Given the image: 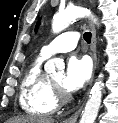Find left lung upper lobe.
Listing matches in <instances>:
<instances>
[{"mask_svg": "<svg viewBox=\"0 0 118 123\" xmlns=\"http://www.w3.org/2000/svg\"><path fill=\"white\" fill-rule=\"evenodd\" d=\"M38 26H39V22H38L37 25H36V30L38 29Z\"/></svg>", "mask_w": 118, "mask_h": 123, "instance_id": "1", "label": "left lung upper lobe"}]
</instances>
